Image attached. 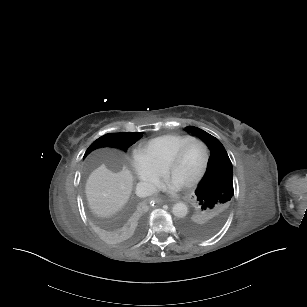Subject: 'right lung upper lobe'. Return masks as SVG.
I'll list each match as a JSON object with an SVG mask.
<instances>
[{"label": "right lung upper lobe", "mask_w": 307, "mask_h": 307, "mask_svg": "<svg viewBox=\"0 0 307 307\" xmlns=\"http://www.w3.org/2000/svg\"><path fill=\"white\" fill-rule=\"evenodd\" d=\"M140 214H141L140 212H137V213L134 215V217H133V218H134V220H136V219L140 218Z\"/></svg>", "instance_id": "cb5924a9"}]
</instances>
